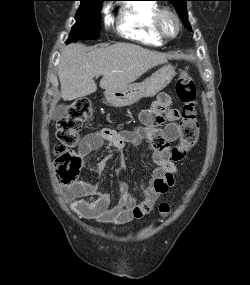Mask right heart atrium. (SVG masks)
Returning a JSON list of instances; mask_svg holds the SVG:
<instances>
[{"label": "right heart atrium", "mask_w": 250, "mask_h": 285, "mask_svg": "<svg viewBox=\"0 0 250 285\" xmlns=\"http://www.w3.org/2000/svg\"><path fill=\"white\" fill-rule=\"evenodd\" d=\"M111 20H112V19H111L110 14L107 13V15H106V23L109 24V23L111 22Z\"/></svg>", "instance_id": "1"}]
</instances>
